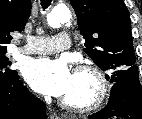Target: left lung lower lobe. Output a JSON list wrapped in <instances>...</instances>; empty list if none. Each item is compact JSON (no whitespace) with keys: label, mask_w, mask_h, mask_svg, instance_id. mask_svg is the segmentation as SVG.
I'll list each match as a JSON object with an SVG mask.
<instances>
[{"label":"left lung lower lobe","mask_w":142,"mask_h":119,"mask_svg":"<svg viewBox=\"0 0 142 119\" xmlns=\"http://www.w3.org/2000/svg\"><path fill=\"white\" fill-rule=\"evenodd\" d=\"M142 119V86L136 77L115 82L105 108L88 119Z\"/></svg>","instance_id":"left-lung-lower-lobe-1"}]
</instances>
